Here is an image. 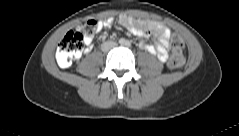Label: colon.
I'll return each instance as SVG.
<instances>
[{
    "mask_svg": "<svg viewBox=\"0 0 239 136\" xmlns=\"http://www.w3.org/2000/svg\"><path fill=\"white\" fill-rule=\"evenodd\" d=\"M99 29L97 20H87L76 31H69L60 41L56 52V61L61 68H69L80 55L85 37H92ZM172 54L168 62L171 69L183 66L185 43L182 37L174 34L171 38Z\"/></svg>",
    "mask_w": 239,
    "mask_h": 136,
    "instance_id": "1",
    "label": "colon"
}]
</instances>
